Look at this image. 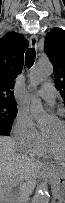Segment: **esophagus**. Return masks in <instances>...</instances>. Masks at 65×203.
<instances>
[{"label":"esophagus","mask_w":65,"mask_h":203,"mask_svg":"<svg viewBox=\"0 0 65 203\" xmlns=\"http://www.w3.org/2000/svg\"><path fill=\"white\" fill-rule=\"evenodd\" d=\"M37 41H38V38L36 35H32L30 37V45L32 48H37Z\"/></svg>","instance_id":"esophagus-1"}]
</instances>
